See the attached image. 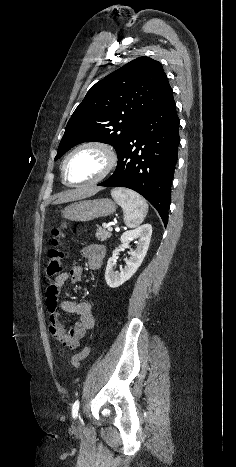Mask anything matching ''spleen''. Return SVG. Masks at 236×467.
<instances>
[{
    "mask_svg": "<svg viewBox=\"0 0 236 467\" xmlns=\"http://www.w3.org/2000/svg\"><path fill=\"white\" fill-rule=\"evenodd\" d=\"M111 196L124 212V222L129 228L140 225L148 212V204L138 193L126 188H114Z\"/></svg>",
    "mask_w": 236,
    "mask_h": 467,
    "instance_id": "obj_1",
    "label": "spleen"
}]
</instances>
